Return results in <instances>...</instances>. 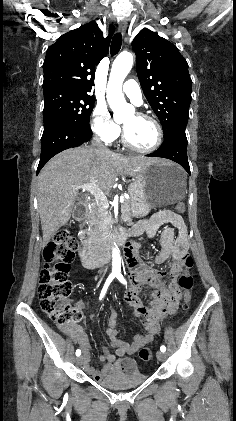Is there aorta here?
Masks as SVG:
<instances>
[{"instance_id":"1","label":"aorta","mask_w":236,"mask_h":421,"mask_svg":"<svg viewBox=\"0 0 236 421\" xmlns=\"http://www.w3.org/2000/svg\"><path fill=\"white\" fill-rule=\"evenodd\" d=\"M132 52H120L115 58L108 84H107V100L114 110V98L116 100H123L122 82L125 80L128 72H130L133 64ZM121 271V259L117 249H113L112 253V275Z\"/></svg>"}]
</instances>
